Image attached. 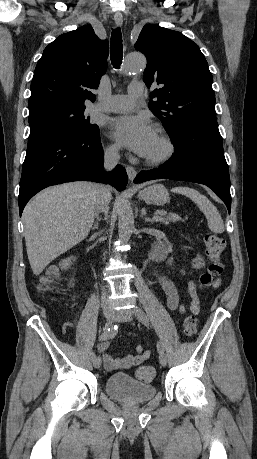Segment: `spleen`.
I'll list each match as a JSON object with an SVG mask.
<instances>
[{"label":"spleen","mask_w":257,"mask_h":459,"mask_svg":"<svg viewBox=\"0 0 257 459\" xmlns=\"http://www.w3.org/2000/svg\"><path fill=\"white\" fill-rule=\"evenodd\" d=\"M173 192L187 196L199 207L205 215L208 227L212 232L218 234L224 232L225 227L221 215L214 204L206 196L189 187H177L173 189Z\"/></svg>","instance_id":"obj_1"}]
</instances>
